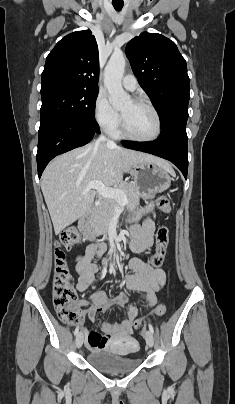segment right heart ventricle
<instances>
[{
    "mask_svg": "<svg viewBox=\"0 0 235 404\" xmlns=\"http://www.w3.org/2000/svg\"><path fill=\"white\" fill-rule=\"evenodd\" d=\"M115 134H116V135H119V132H118V131H116V132H115Z\"/></svg>",
    "mask_w": 235,
    "mask_h": 404,
    "instance_id": "obj_1",
    "label": "right heart ventricle"
}]
</instances>
